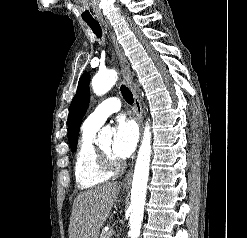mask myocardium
<instances>
[{
    "label": "myocardium",
    "mask_w": 247,
    "mask_h": 238,
    "mask_svg": "<svg viewBox=\"0 0 247 238\" xmlns=\"http://www.w3.org/2000/svg\"><path fill=\"white\" fill-rule=\"evenodd\" d=\"M98 163L99 166L106 172L111 174L121 171L123 164L115 157L104 152L100 147H97Z\"/></svg>",
    "instance_id": "f54148a6"
}]
</instances>
